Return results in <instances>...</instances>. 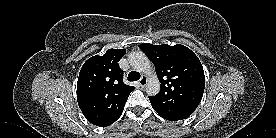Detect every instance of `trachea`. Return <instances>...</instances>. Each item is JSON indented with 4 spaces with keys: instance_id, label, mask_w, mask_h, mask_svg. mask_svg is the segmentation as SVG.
Returning a JSON list of instances; mask_svg holds the SVG:
<instances>
[{
    "instance_id": "1",
    "label": "trachea",
    "mask_w": 276,
    "mask_h": 138,
    "mask_svg": "<svg viewBox=\"0 0 276 138\" xmlns=\"http://www.w3.org/2000/svg\"><path fill=\"white\" fill-rule=\"evenodd\" d=\"M140 79V73L136 72V71H131L128 74V80L133 82V81H138Z\"/></svg>"
}]
</instances>
